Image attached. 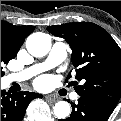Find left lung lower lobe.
Returning <instances> with one entry per match:
<instances>
[{
	"label": "left lung lower lobe",
	"instance_id": "0a47b994",
	"mask_svg": "<svg viewBox=\"0 0 121 121\" xmlns=\"http://www.w3.org/2000/svg\"><path fill=\"white\" fill-rule=\"evenodd\" d=\"M112 112L102 105L80 96L78 104L72 103L71 116L58 121H106Z\"/></svg>",
	"mask_w": 121,
	"mask_h": 121
}]
</instances>
